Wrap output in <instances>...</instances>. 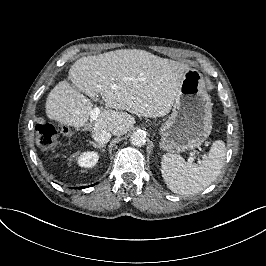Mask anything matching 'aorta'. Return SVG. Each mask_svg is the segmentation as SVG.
<instances>
[{"label": "aorta", "mask_w": 266, "mask_h": 266, "mask_svg": "<svg viewBox=\"0 0 266 266\" xmlns=\"http://www.w3.org/2000/svg\"><path fill=\"white\" fill-rule=\"evenodd\" d=\"M130 142L134 146H142L146 142V133L143 131H135L130 137Z\"/></svg>", "instance_id": "1"}]
</instances>
